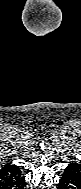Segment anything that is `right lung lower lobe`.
I'll list each match as a JSON object with an SVG mask.
<instances>
[{"label": "right lung lower lobe", "instance_id": "98d812e1", "mask_svg": "<svg viewBox=\"0 0 81 189\" xmlns=\"http://www.w3.org/2000/svg\"><path fill=\"white\" fill-rule=\"evenodd\" d=\"M25 176L17 166L7 165L0 170V189H25Z\"/></svg>", "mask_w": 81, "mask_h": 189}]
</instances>
